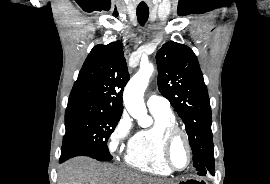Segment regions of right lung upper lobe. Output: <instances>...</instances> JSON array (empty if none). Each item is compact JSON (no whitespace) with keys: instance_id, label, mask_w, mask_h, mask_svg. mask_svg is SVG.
I'll use <instances>...</instances> for the list:
<instances>
[{"instance_id":"obj_1","label":"right lung upper lobe","mask_w":270,"mask_h":184,"mask_svg":"<svg viewBox=\"0 0 270 184\" xmlns=\"http://www.w3.org/2000/svg\"><path fill=\"white\" fill-rule=\"evenodd\" d=\"M129 78L123 44L96 45L83 64L69 101L88 102L121 116L122 94Z\"/></svg>"}]
</instances>
